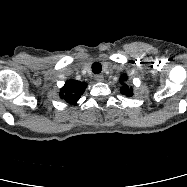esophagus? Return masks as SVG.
<instances>
[{
    "label": "esophagus",
    "instance_id": "esophagus-1",
    "mask_svg": "<svg viewBox=\"0 0 187 187\" xmlns=\"http://www.w3.org/2000/svg\"><path fill=\"white\" fill-rule=\"evenodd\" d=\"M97 82H102L104 80V76L102 74H98L94 76Z\"/></svg>",
    "mask_w": 187,
    "mask_h": 187
}]
</instances>
